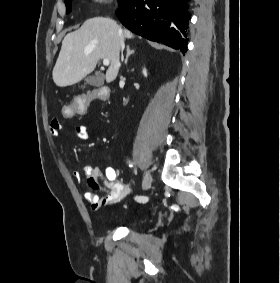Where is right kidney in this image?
I'll list each match as a JSON object with an SVG mask.
<instances>
[{
    "label": "right kidney",
    "mask_w": 280,
    "mask_h": 283,
    "mask_svg": "<svg viewBox=\"0 0 280 283\" xmlns=\"http://www.w3.org/2000/svg\"><path fill=\"white\" fill-rule=\"evenodd\" d=\"M143 74H144L145 77L147 76V71H146V69L143 70Z\"/></svg>",
    "instance_id": "1"
}]
</instances>
